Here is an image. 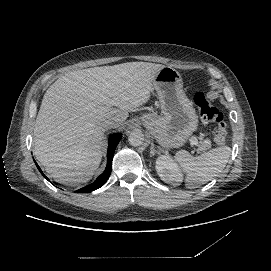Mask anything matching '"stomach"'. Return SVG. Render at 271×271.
<instances>
[{
  "label": "stomach",
  "instance_id": "0dacf381",
  "mask_svg": "<svg viewBox=\"0 0 271 271\" xmlns=\"http://www.w3.org/2000/svg\"><path fill=\"white\" fill-rule=\"evenodd\" d=\"M153 87L157 91L162 114H141L142 125L155 138L159 149L184 146L197 130L198 116L184 94L179 72L171 67L161 69Z\"/></svg>",
  "mask_w": 271,
  "mask_h": 271
}]
</instances>
